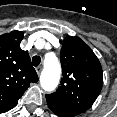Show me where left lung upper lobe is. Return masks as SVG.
<instances>
[{
    "label": "left lung upper lobe",
    "instance_id": "5c2ea615",
    "mask_svg": "<svg viewBox=\"0 0 117 117\" xmlns=\"http://www.w3.org/2000/svg\"><path fill=\"white\" fill-rule=\"evenodd\" d=\"M60 87L50 99L61 101L78 110H88L102 88V67L91 48L78 37L67 36L62 45Z\"/></svg>",
    "mask_w": 117,
    "mask_h": 117
}]
</instances>
